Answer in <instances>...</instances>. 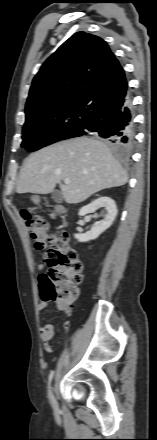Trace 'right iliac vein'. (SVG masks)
I'll return each mask as SVG.
<instances>
[{
	"instance_id": "right-iliac-vein-1",
	"label": "right iliac vein",
	"mask_w": 157,
	"mask_h": 440,
	"mask_svg": "<svg viewBox=\"0 0 157 440\" xmlns=\"http://www.w3.org/2000/svg\"><path fill=\"white\" fill-rule=\"evenodd\" d=\"M52 406L54 409L58 408L57 401H56V398L54 397V395L52 396Z\"/></svg>"
}]
</instances>
